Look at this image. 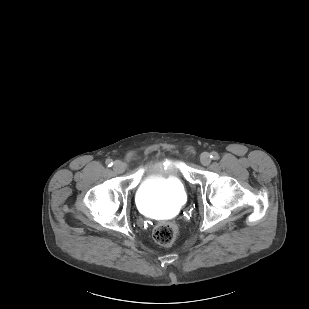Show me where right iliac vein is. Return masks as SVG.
<instances>
[{"label": "right iliac vein", "instance_id": "1", "mask_svg": "<svg viewBox=\"0 0 309 309\" xmlns=\"http://www.w3.org/2000/svg\"><path fill=\"white\" fill-rule=\"evenodd\" d=\"M113 170L116 173H123L125 171V164L119 160L114 162Z\"/></svg>", "mask_w": 309, "mask_h": 309}]
</instances>
